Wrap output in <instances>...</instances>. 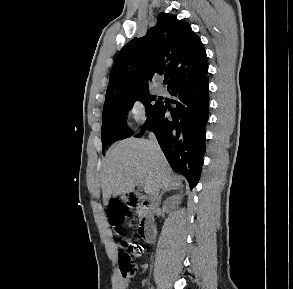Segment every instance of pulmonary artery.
<instances>
[{
	"label": "pulmonary artery",
	"mask_w": 293,
	"mask_h": 289,
	"mask_svg": "<svg viewBox=\"0 0 293 289\" xmlns=\"http://www.w3.org/2000/svg\"><path fill=\"white\" fill-rule=\"evenodd\" d=\"M156 92L159 94V95H163L164 94V88L161 84H157L156 85Z\"/></svg>",
	"instance_id": "pulmonary-artery-1"
}]
</instances>
